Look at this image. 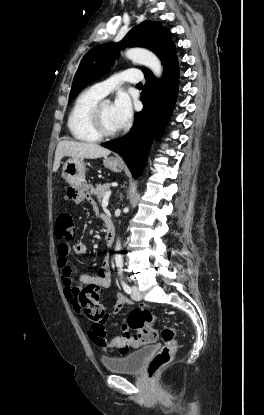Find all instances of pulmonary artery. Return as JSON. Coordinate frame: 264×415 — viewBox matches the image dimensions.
Wrapping results in <instances>:
<instances>
[{
	"mask_svg": "<svg viewBox=\"0 0 264 415\" xmlns=\"http://www.w3.org/2000/svg\"><path fill=\"white\" fill-rule=\"evenodd\" d=\"M142 79L143 75L141 73L121 71L105 81L94 84L90 89L100 97H104L110 92L118 89L125 81L137 84L140 83Z\"/></svg>",
	"mask_w": 264,
	"mask_h": 415,
	"instance_id": "obj_1",
	"label": "pulmonary artery"
}]
</instances>
